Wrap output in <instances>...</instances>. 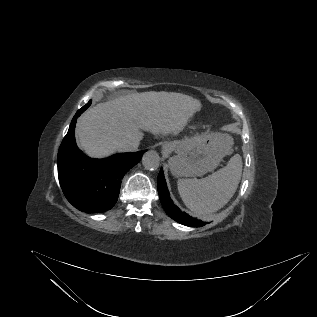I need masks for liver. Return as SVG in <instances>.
Listing matches in <instances>:
<instances>
[{
    "instance_id": "obj_1",
    "label": "liver",
    "mask_w": 317,
    "mask_h": 317,
    "mask_svg": "<svg viewBox=\"0 0 317 317\" xmlns=\"http://www.w3.org/2000/svg\"><path fill=\"white\" fill-rule=\"evenodd\" d=\"M201 102L176 92H142L98 103L77 120L80 147L94 158L107 157L123 142H140L143 132L177 135L184 130Z\"/></svg>"
}]
</instances>
